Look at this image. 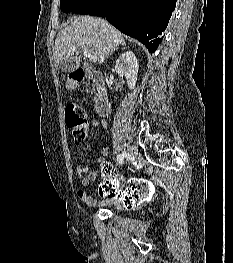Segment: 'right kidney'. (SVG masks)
Instances as JSON below:
<instances>
[{"label":"right kidney","instance_id":"right-kidney-1","mask_svg":"<svg viewBox=\"0 0 233 263\" xmlns=\"http://www.w3.org/2000/svg\"><path fill=\"white\" fill-rule=\"evenodd\" d=\"M138 70V60L132 51L123 53L116 61L115 71L126 78L130 90L136 85Z\"/></svg>","mask_w":233,"mask_h":263}]
</instances>
